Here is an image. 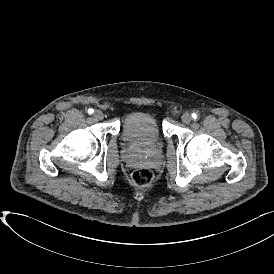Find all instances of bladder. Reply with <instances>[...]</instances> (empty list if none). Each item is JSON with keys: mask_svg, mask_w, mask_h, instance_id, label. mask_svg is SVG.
<instances>
[{"mask_svg": "<svg viewBox=\"0 0 274 274\" xmlns=\"http://www.w3.org/2000/svg\"><path fill=\"white\" fill-rule=\"evenodd\" d=\"M162 126L151 110L138 109L129 113L121 126L122 140L134 146H147L160 141Z\"/></svg>", "mask_w": 274, "mask_h": 274, "instance_id": "1", "label": "bladder"}]
</instances>
